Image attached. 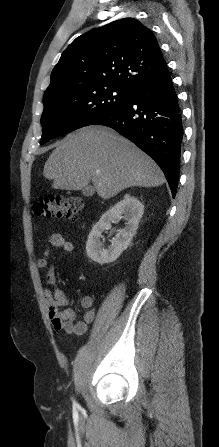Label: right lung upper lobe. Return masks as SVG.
Instances as JSON below:
<instances>
[{
    "instance_id": "right-lung-upper-lobe-1",
    "label": "right lung upper lobe",
    "mask_w": 219,
    "mask_h": 447,
    "mask_svg": "<svg viewBox=\"0 0 219 447\" xmlns=\"http://www.w3.org/2000/svg\"><path fill=\"white\" fill-rule=\"evenodd\" d=\"M169 73L154 34L134 18H124L76 38L62 53L44 93H84L116 85L131 93Z\"/></svg>"
}]
</instances>
